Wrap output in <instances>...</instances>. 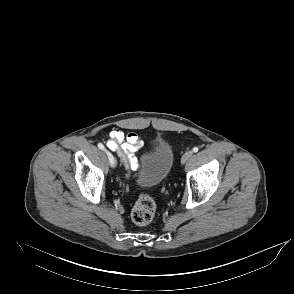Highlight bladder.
<instances>
[{
  "label": "bladder",
  "instance_id": "bladder-1",
  "mask_svg": "<svg viewBox=\"0 0 294 294\" xmlns=\"http://www.w3.org/2000/svg\"><path fill=\"white\" fill-rule=\"evenodd\" d=\"M174 163V151L163 137H159L152 152L145 156L138 183L142 186H157L169 175Z\"/></svg>",
  "mask_w": 294,
  "mask_h": 294
}]
</instances>
